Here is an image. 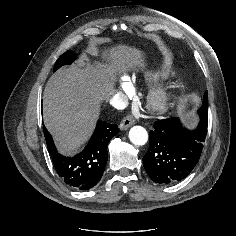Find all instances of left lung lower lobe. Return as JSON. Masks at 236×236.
I'll use <instances>...</instances> for the list:
<instances>
[{"label":"left lung lower lobe","mask_w":236,"mask_h":236,"mask_svg":"<svg viewBox=\"0 0 236 236\" xmlns=\"http://www.w3.org/2000/svg\"><path fill=\"white\" fill-rule=\"evenodd\" d=\"M153 126L149 150L143 157L146 172L156 183L181 181L200 159L207 135L208 114L200 116L193 130L185 128L177 118L159 120Z\"/></svg>","instance_id":"1"}]
</instances>
